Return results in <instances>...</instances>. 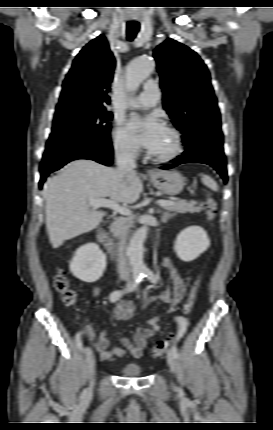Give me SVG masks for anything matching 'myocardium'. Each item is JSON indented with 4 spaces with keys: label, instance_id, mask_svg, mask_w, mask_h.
<instances>
[{
    "label": "myocardium",
    "instance_id": "1",
    "mask_svg": "<svg viewBox=\"0 0 273 430\" xmlns=\"http://www.w3.org/2000/svg\"><path fill=\"white\" fill-rule=\"evenodd\" d=\"M173 138V149L170 153L165 155H156L152 152L149 153L150 158L158 163H166L175 160L178 158L183 152V138L182 134L178 129L172 126H167L165 128Z\"/></svg>",
    "mask_w": 273,
    "mask_h": 430
}]
</instances>
